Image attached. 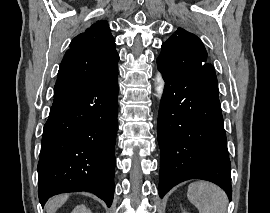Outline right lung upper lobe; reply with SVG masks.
<instances>
[{"label":"right lung upper lobe","instance_id":"cb5924a9","mask_svg":"<svg viewBox=\"0 0 270 213\" xmlns=\"http://www.w3.org/2000/svg\"><path fill=\"white\" fill-rule=\"evenodd\" d=\"M119 56L106 21L93 24L77 35L60 64L54 93L72 90L111 78Z\"/></svg>","mask_w":270,"mask_h":213}]
</instances>
